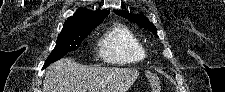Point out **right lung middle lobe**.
<instances>
[{
	"label": "right lung middle lobe",
	"mask_w": 225,
	"mask_h": 92,
	"mask_svg": "<svg viewBox=\"0 0 225 92\" xmlns=\"http://www.w3.org/2000/svg\"><path fill=\"white\" fill-rule=\"evenodd\" d=\"M103 20L74 29H62L58 35L56 46L46 59L43 69L56 60L61 59L68 52L77 50L82 40L91 33L92 29L101 24Z\"/></svg>",
	"instance_id": "dd1d6c3e"
}]
</instances>
